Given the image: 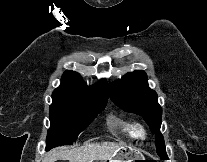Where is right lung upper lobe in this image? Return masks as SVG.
<instances>
[{
    "mask_svg": "<svg viewBox=\"0 0 207 162\" xmlns=\"http://www.w3.org/2000/svg\"><path fill=\"white\" fill-rule=\"evenodd\" d=\"M53 95L89 99H108V84L102 79L97 85L88 87L74 71H66L62 76L61 85Z\"/></svg>",
    "mask_w": 207,
    "mask_h": 162,
    "instance_id": "right-lung-upper-lobe-1",
    "label": "right lung upper lobe"
}]
</instances>
